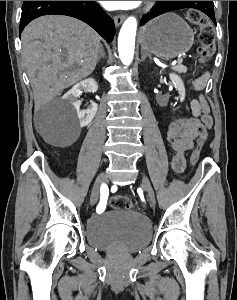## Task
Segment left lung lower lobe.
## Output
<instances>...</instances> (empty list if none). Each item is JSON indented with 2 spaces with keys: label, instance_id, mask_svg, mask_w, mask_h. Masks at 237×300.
<instances>
[{
  "label": "left lung lower lobe",
  "instance_id": "0a47b994",
  "mask_svg": "<svg viewBox=\"0 0 237 300\" xmlns=\"http://www.w3.org/2000/svg\"><path fill=\"white\" fill-rule=\"evenodd\" d=\"M171 11L182 8H195L207 14L216 25L213 1H168ZM170 12V11H168Z\"/></svg>",
  "mask_w": 237,
  "mask_h": 300
}]
</instances>
